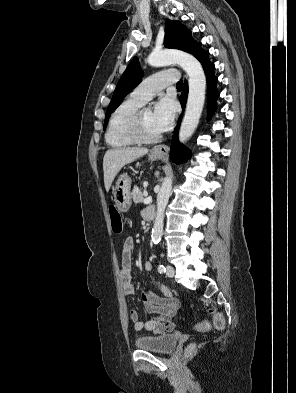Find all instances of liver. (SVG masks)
<instances>
[{"label":"liver","instance_id":"liver-1","mask_svg":"<svg viewBox=\"0 0 296 393\" xmlns=\"http://www.w3.org/2000/svg\"><path fill=\"white\" fill-rule=\"evenodd\" d=\"M147 153V148L138 147L107 150L103 158L104 184L106 191H109L114 178L122 167Z\"/></svg>","mask_w":296,"mask_h":393}]
</instances>
